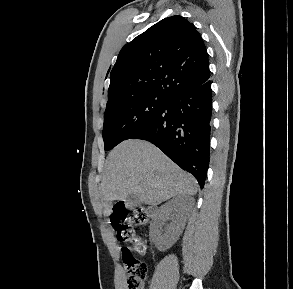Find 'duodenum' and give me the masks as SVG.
Masks as SVG:
<instances>
[{
    "mask_svg": "<svg viewBox=\"0 0 293 289\" xmlns=\"http://www.w3.org/2000/svg\"><path fill=\"white\" fill-rule=\"evenodd\" d=\"M150 212H151V214H154L155 213V208L154 207L150 208Z\"/></svg>",
    "mask_w": 293,
    "mask_h": 289,
    "instance_id": "1",
    "label": "duodenum"
}]
</instances>
